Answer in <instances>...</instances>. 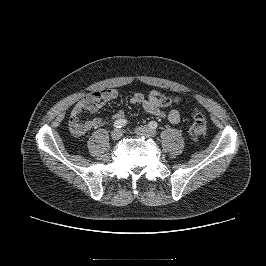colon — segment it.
I'll return each instance as SVG.
<instances>
[{
  "label": "colon",
  "mask_w": 266,
  "mask_h": 266,
  "mask_svg": "<svg viewBox=\"0 0 266 266\" xmlns=\"http://www.w3.org/2000/svg\"><path fill=\"white\" fill-rule=\"evenodd\" d=\"M178 99H171L169 97H165L163 99V104L165 106L170 105L173 102H177ZM207 133V121L204 115L199 111L195 110L192 118V122L189 128V134L193 142H198L201 140Z\"/></svg>",
  "instance_id": "1"
}]
</instances>
